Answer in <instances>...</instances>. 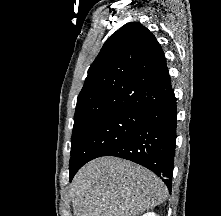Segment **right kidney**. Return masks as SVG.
<instances>
[{
    "instance_id": "1",
    "label": "right kidney",
    "mask_w": 221,
    "mask_h": 216,
    "mask_svg": "<svg viewBox=\"0 0 221 216\" xmlns=\"http://www.w3.org/2000/svg\"><path fill=\"white\" fill-rule=\"evenodd\" d=\"M142 216H158L157 214H155L154 212H148L143 214Z\"/></svg>"
}]
</instances>
